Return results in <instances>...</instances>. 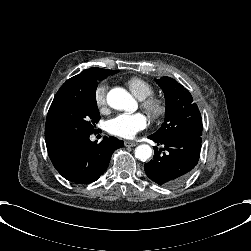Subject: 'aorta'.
<instances>
[{
	"mask_svg": "<svg viewBox=\"0 0 251 251\" xmlns=\"http://www.w3.org/2000/svg\"><path fill=\"white\" fill-rule=\"evenodd\" d=\"M108 103L114 109L133 112L135 108L134 98L123 89H113L107 97ZM152 155V148L148 144H140L135 149V157L141 161L148 160Z\"/></svg>",
	"mask_w": 251,
	"mask_h": 251,
	"instance_id": "obj_1",
	"label": "aorta"
}]
</instances>
